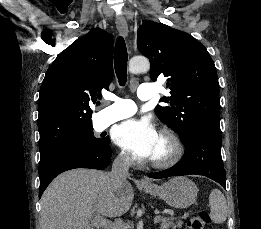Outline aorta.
<instances>
[{
	"label": "aorta",
	"instance_id": "aorta-1",
	"mask_svg": "<svg viewBox=\"0 0 261 229\" xmlns=\"http://www.w3.org/2000/svg\"><path fill=\"white\" fill-rule=\"evenodd\" d=\"M150 68V62L145 56H132L129 60V72H147Z\"/></svg>",
	"mask_w": 261,
	"mask_h": 229
}]
</instances>
